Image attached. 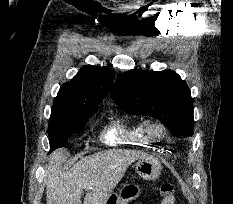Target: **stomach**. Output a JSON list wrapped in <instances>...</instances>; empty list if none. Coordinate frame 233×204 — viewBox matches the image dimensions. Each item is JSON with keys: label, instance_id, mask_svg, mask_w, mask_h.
<instances>
[{"label": "stomach", "instance_id": "obj_1", "mask_svg": "<svg viewBox=\"0 0 233 204\" xmlns=\"http://www.w3.org/2000/svg\"><path fill=\"white\" fill-rule=\"evenodd\" d=\"M135 169L141 178L148 181L156 180L161 174L160 162L149 155L139 158L135 163ZM138 193L139 190L135 184H123L114 194L116 196L115 204H128ZM107 203L108 200L105 204Z\"/></svg>", "mask_w": 233, "mask_h": 204}]
</instances>
